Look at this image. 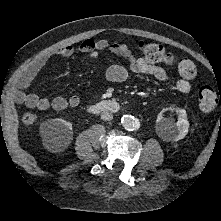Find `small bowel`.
Wrapping results in <instances>:
<instances>
[{"label": "small bowel", "mask_w": 221, "mask_h": 221, "mask_svg": "<svg viewBox=\"0 0 221 221\" xmlns=\"http://www.w3.org/2000/svg\"><path fill=\"white\" fill-rule=\"evenodd\" d=\"M78 50L88 55L90 58H96L103 51H110L117 54L128 62V67L122 65H112L106 71V78L113 83H122L126 81L130 73L145 74L153 76L159 81L167 80L166 70L156 64L148 62L143 57H136L128 45L120 41H110L105 38L86 39L80 43ZM76 52V48L72 45H64L58 49L45 53L38 57L31 65L20 75L17 82V91L15 98L19 103L25 104L29 108L46 111L54 109L61 111L67 107H77L80 104V98L72 95L69 98L64 96H56L52 99L39 96L36 93H27L25 89L30 85L35 75L40 71L46 63L54 57L69 58ZM176 89L183 94L191 91V84L185 79H179L175 83Z\"/></svg>", "instance_id": "1"}]
</instances>
